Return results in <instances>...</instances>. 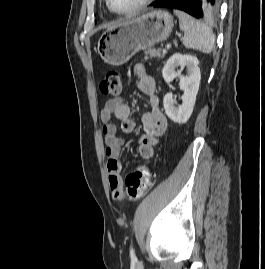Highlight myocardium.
Returning <instances> with one entry per match:
<instances>
[{
    "instance_id": "myocardium-1",
    "label": "myocardium",
    "mask_w": 265,
    "mask_h": 269,
    "mask_svg": "<svg viewBox=\"0 0 265 269\" xmlns=\"http://www.w3.org/2000/svg\"><path fill=\"white\" fill-rule=\"evenodd\" d=\"M105 1H106V5H107L108 9L111 12H113L115 14L123 15V14L135 13V12L145 8L146 6H148L154 0H142L138 4H136L134 7L130 8V9H126V10H116V9L113 8L110 0H105Z\"/></svg>"
}]
</instances>
